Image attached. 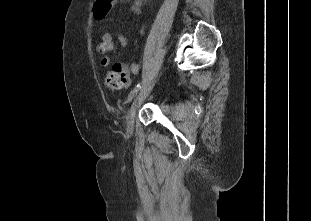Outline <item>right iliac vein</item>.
<instances>
[{
    "mask_svg": "<svg viewBox=\"0 0 311 221\" xmlns=\"http://www.w3.org/2000/svg\"><path fill=\"white\" fill-rule=\"evenodd\" d=\"M141 99H142V92H140L138 95L135 96V98H134V100L130 106V109L128 112V118H129L128 129L130 131L134 127V119H135L136 111H137V108H138V105H139Z\"/></svg>",
    "mask_w": 311,
    "mask_h": 221,
    "instance_id": "63e3f726",
    "label": "right iliac vein"
}]
</instances>
